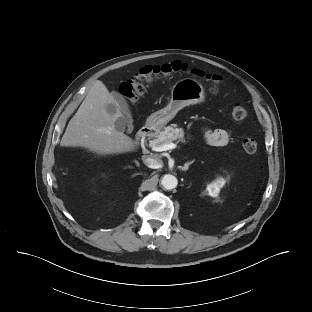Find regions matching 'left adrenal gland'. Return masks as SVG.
<instances>
[{
  "mask_svg": "<svg viewBox=\"0 0 312 312\" xmlns=\"http://www.w3.org/2000/svg\"><path fill=\"white\" fill-rule=\"evenodd\" d=\"M194 162V160L187 162L183 167H181L182 171H187L189 169V166Z\"/></svg>",
  "mask_w": 312,
  "mask_h": 312,
  "instance_id": "1",
  "label": "left adrenal gland"
}]
</instances>
